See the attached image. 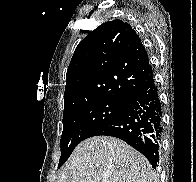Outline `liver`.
I'll return each mask as SVG.
<instances>
[{
  "label": "liver",
  "instance_id": "obj_1",
  "mask_svg": "<svg viewBox=\"0 0 196 182\" xmlns=\"http://www.w3.org/2000/svg\"><path fill=\"white\" fill-rule=\"evenodd\" d=\"M57 182H158L144 155L124 141L95 136L81 142Z\"/></svg>",
  "mask_w": 196,
  "mask_h": 182
}]
</instances>
